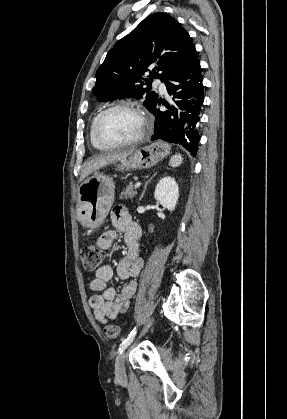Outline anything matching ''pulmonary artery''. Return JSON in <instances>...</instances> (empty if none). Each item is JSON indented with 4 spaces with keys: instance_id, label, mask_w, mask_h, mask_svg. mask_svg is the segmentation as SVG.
<instances>
[{
    "instance_id": "1",
    "label": "pulmonary artery",
    "mask_w": 287,
    "mask_h": 419,
    "mask_svg": "<svg viewBox=\"0 0 287 419\" xmlns=\"http://www.w3.org/2000/svg\"><path fill=\"white\" fill-rule=\"evenodd\" d=\"M154 85H155V86H157V87L159 88V90H160V92H161L162 94H166V86H165V84H164L161 80L156 79V80L154 81Z\"/></svg>"
}]
</instances>
